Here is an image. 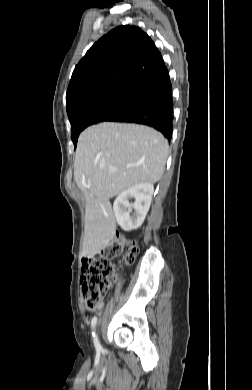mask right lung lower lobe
Returning <instances> with one entry per match:
<instances>
[{
  "instance_id": "98d812e1",
  "label": "right lung lower lobe",
  "mask_w": 252,
  "mask_h": 390,
  "mask_svg": "<svg viewBox=\"0 0 252 390\" xmlns=\"http://www.w3.org/2000/svg\"><path fill=\"white\" fill-rule=\"evenodd\" d=\"M173 99L170 77L140 92L124 110L106 121L138 123L160 131L169 141L172 137Z\"/></svg>"
}]
</instances>
